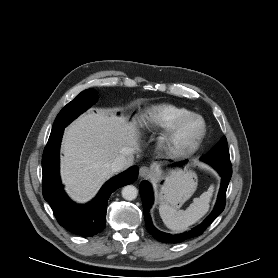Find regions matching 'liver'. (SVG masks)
Segmentation results:
<instances>
[{
    "label": "liver",
    "instance_id": "6515ba94",
    "mask_svg": "<svg viewBox=\"0 0 278 278\" xmlns=\"http://www.w3.org/2000/svg\"><path fill=\"white\" fill-rule=\"evenodd\" d=\"M136 122L107 110L88 112L66 128L61 175L68 194L78 202L91 199L112 175L111 163L124 155L130 166L139 150Z\"/></svg>",
    "mask_w": 278,
    "mask_h": 278
}]
</instances>
